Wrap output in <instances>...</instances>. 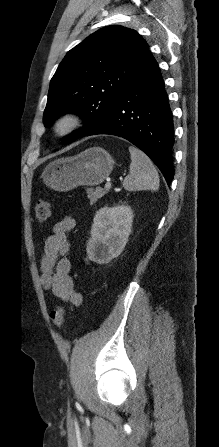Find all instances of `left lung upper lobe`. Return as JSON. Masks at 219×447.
Here are the masks:
<instances>
[{
    "label": "left lung upper lobe",
    "mask_w": 219,
    "mask_h": 447,
    "mask_svg": "<svg viewBox=\"0 0 219 447\" xmlns=\"http://www.w3.org/2000/svg\"><path fill=\"white\" fill-rule=\"evenodd\" d=\"M148 48L135 30L108 26L71 49L51 79L45 127L63 114L77 113L85 125L63 142L88 135L134 75Z\"/></svg>",
    "instance_id": "5c2ea615"
}]
</instances>
